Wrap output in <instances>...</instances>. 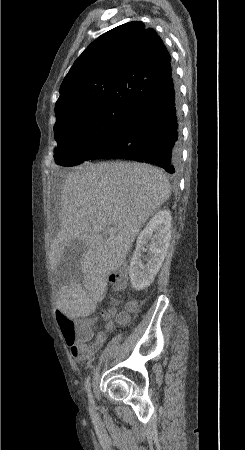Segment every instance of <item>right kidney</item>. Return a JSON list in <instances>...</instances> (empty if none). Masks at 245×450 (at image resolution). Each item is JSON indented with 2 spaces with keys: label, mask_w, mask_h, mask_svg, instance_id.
<instances>
[{
  "label": "right kidney",
  "mask_w": 245,
  "mask_h": 450,
  "mask_svg": "<svg viewBox=\"0 0 245 450\" xmlns=\"http://www.w3.org/2000/svg\"><path fill=\"white\" fill-rule=\"evenodd\" d=\"M171 219L168 210H160L139 234L129 268L131 284L135 290H143L154 281L170 244ZM145 247L149 255L146 264L143 263L142 255Z\"/></svg>",
  "instance_id": "right-kidney-1"
}]
</instances>
